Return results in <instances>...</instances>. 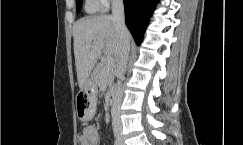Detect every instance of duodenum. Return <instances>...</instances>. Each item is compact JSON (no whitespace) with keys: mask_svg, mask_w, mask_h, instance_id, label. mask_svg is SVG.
Masks as SVG:
<instances>
[{"mask_svg":"<svg viewBox=\"0 0 243 145\" xmlns=\"http://www.w3.org/2000/svg\"><path fill=\"white\" fill-rule=\"evenodd\" d=\"M108 102L110 103V105H113L115 102V92L113 89L108 94Z\"/></svg>","mask_w":243,"mask_h":145,"instance_id":"obj_1","label":"duodenum"}]
</instances>
